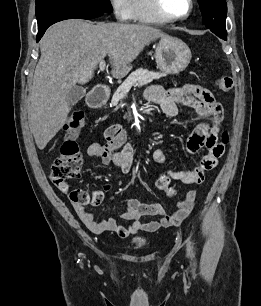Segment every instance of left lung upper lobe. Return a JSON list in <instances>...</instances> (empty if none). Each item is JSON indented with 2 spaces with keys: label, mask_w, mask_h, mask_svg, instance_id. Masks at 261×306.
I'll return each instance as SVG.
<instances>
[{
  "label": "left lung upper lobe",
  "mask_w": 261,
  "mask_h": 306,
  "mask_svg": "<svg viewBox=\"0 0 261 306\" xmlns=\"http://www.w3.org/2000/svg\"><path fill=\"white\" fill-rule=\"evenodd\" d=\"M205 24L213 33L226 34V0H198Z\"/></svg>",
  "instance_id": "1"
}]
</instances>
